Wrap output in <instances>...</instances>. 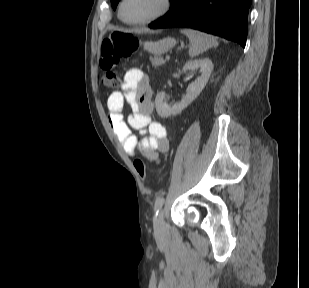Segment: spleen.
I'll list each match as a JSON object with an SVG mask.
<instances>
[{
	"instance_id": "1",
	"label": "spleen",
	"mask_w": 309,
	"mask_h": 288,
	"mask_svg": "<svg viewBox=\"0 0 309 288\" xmlns=\"http://www.w3.org/2000/svg\"><path fill=\"white\" fill-rule=\"evenodd\" d=\"M181 33L185 34L190 41L189 56L196 57L211 47L218 46L217 38L193 29H183Z\"/></svg>"
}]
</instances>
